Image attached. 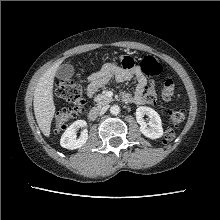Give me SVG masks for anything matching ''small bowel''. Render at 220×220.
<instances>
[{
    "label": "small bowel",
    "instance_id": "obj_1",
    "mask_svg": "<svg viewBox=\"0 0 220 220\" xmlns=\"http://www.w3.org/2000/svg\"><path fill=\"white\" fill-rule=\"evenodd\" d=\"M133 78L136 80L134 93H124L122 98L126 102H133L139 105L145 104V93L153 94L154 91L152 88H148L147 79L137 67H134L133 64L124 68L115 67L109 64L105 65L100 71L92 74L88 78V97L92 98L98 89L109 80L122 83L130 81Z\"/></svg>",
    "mask_w": 220,
    "mask_h": 220
}]
</instances>
